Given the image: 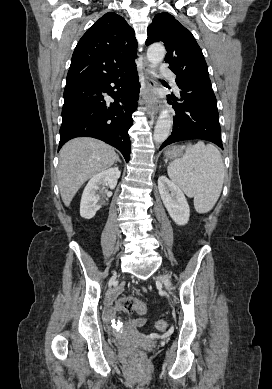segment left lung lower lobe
Returning a JSON list of instances; mask_svg holds the SVG:
<instances>
[{"label":"left lung lower lobe","mask_w":272,"mask_h":389,"mask_svg":"<svg viewBox=\"0 0 272 389\" xmlns=\"http://www.w3.org/2000/svg\"><path fill=\"white\" fill-rule=\"evenodd\" d=\"M176 83L181 90L178 99L181 102L171 103L175 111L174 129L159 150L189 139L207 140L223 149L217 102L210 79H184Z\"/></svg>","instance_id":"0a47b994"}]
</instances>
